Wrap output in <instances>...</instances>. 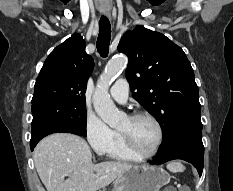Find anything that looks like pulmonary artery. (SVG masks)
<instances>
[{"label": "pulmonary artery", "mask_w": 233, "mask_h": 191, "mask_svg": "<svg viewBox=\"0 0 233 191\" xmlns=\"http://www.w3.org/2000/svg\"><path fill=\"white\" fill-rule=\"evenodd\" d=\"M129 84L126 79H119L115 82L110 90L112 99L120 104H124L128 100Z\"/></svg>", "instance_id": "e3ab8cb5"}]
</instances>
